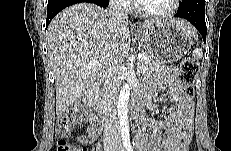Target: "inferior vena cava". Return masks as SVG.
Returning a JSON list of instances; mask_svg holds the SVG:
<instances>
[{"label":"inferior vena cava","instance_id":"1","mask_svg":"<svg viewBox=\"0 0 231 151\" xmlns=\"http://www.w3.org/2000/svg\"><path fill=\"white\" fill-rule=\"evenodd\" d=\"M109 11L121 20H127V13L121 7L120 0H110ZM117 78L109 72L105 82V99L103 103L102 125L104 127V145L120 144V127L116 109Z\"/></svg>","mask_w":231,"mask_h":151}]
</instances>
